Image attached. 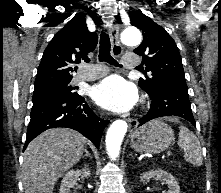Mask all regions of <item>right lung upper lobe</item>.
<instances>
[{
    "mask_svg": "<svg viewBox=\"0 0 221 193\" xmlns=\"http://www.w3.org/2000/svg\"><path fill=\"white\" fill-rule=\"evenodd\" d=\"M95 32H89L82 15H75L57 32L45 49L35 86L72 80L73 65L89 61L87 54L97 45Z\"/></svg>",
    "mask_w": 221,
    "mask_h": 193,
    "instance_id": "1",
    "label": "right lung upper lobe"
}]
</instances>
